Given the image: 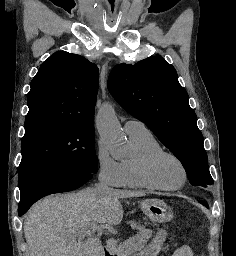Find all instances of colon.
<instances>
[{"label": "colon", "instance_id": "1", "mask_svg": "<svg viewBox=\"0 0 236 256\" xmlns=\"http://www.w3.org/2000/svg\"><path fill=\"white\" fill-rule=\"evenodd\" d=\"M202 254H200V253H196V256H201Z\"/></svg>", "mask_w": 236, "mask_h": 256}]
</instances>
